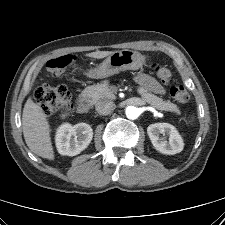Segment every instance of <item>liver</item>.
<instances>
[{"instance_id":"1","label":"liver","mask_w":225,"mask_h":225,"mask_svg":"<svg viewBox=\"0 0 225 225\" xmlns=\"http://www.w3.org/2000/svg\"><path fill=\"white\" fill-rule=\"evenodd\" d=\"M112 51H96L88 57L102 59L111 55ZM22 129L25 142L36 155L54 160V150L50 137V126L42 109L29 97L22 114Z\"/></svg>"}]
</instances>
